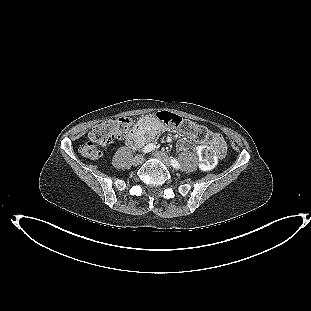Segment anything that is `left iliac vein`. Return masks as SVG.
Returning a JSON list of instances; mask_svg holds the SVG:
<instances>
[{"instance_id":"left-iliac-vein-1","label":"left iliac vein","mask_w":311,"mask_h":311,"mask_svg":"<svg viewBox=\"0 0 311 311\" xmlns=\"http://www.w3.org/2000/svg\"><path fill=\"white\" fill-rule=\"evenodd\" d=\"M154 156L160 161H162L167 167H170V158L167 154L161 151H157L154 153Z\"/></svg>"}]
</instances>
